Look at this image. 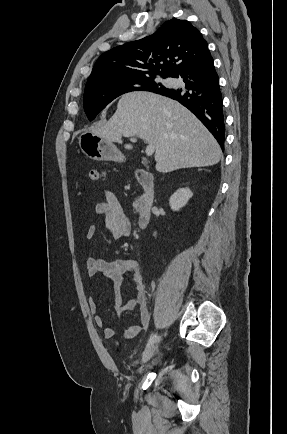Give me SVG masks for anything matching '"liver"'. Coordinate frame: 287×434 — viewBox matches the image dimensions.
I'll return each mask as SVG.
<instances>
[{
	"label": "liver",
	"instance_id": "obj_1",
	"mask_svg": "<svg viewBox=\"0 0 287 434\" xmlns=\"http://www.w3.org/2000/svg\"><path fill=\"white\" fill-rule=\"evenodd\" d=\"M92 132L120 144L125 132L134 133L155 146V168L162 173L212 166L222 155L216 139L188 109L177 101L150 92L123 95L110 120ZM136 141V138L131 139L132 143ZM125 148L133 146L126 144Z\"/></svg>",
	"mask_w": 287,
	"mask_h": 434
}]
</instances>
